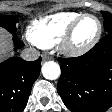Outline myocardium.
I'll return each mask as SVG.
<instances>
[{"instance_id": "obj_1", "label": "myocardium", "mask_w": 112, "mask_h": 112, "mask_svg": "<svg viewBox=\"0 0 112 112\" xmlns=\"http://www.w3.org/2000/svg\"><path fill=\"white\" fill-rule=\"evenodd\" d=\"M86 17H92L97 21L98 30L95 37L89 43H87L84 46L77 47L73 44V36L79 23ZM102 31V22L96 15L91 13H83L70 24V26L68 27V29L66 30V32L64 33V35L58 43V49L63 55L67 57L82 56L88 53L97 45V43L101 39Z\"/></svg>"}]
</instances>
